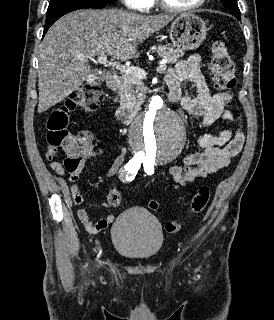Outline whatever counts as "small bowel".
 <instances>
[{
	"label": "small bowel",
	"mask_w": 274,
	"mask_h": 320,
	"mask_svg": "<svg viewBox=\"0 0 274 320\" xmlns=\"http://www.w3.org/2000/svg\"><path fill=\"white\" fill-rule=\"evenodd\" d=\"M185 81L194 85L196 90L194 96L182 94L181 83ZM166 83L170 93H178L182 107L189 114L201 118L200 126L202 128L211 126L217 120L232 123L237 119L231 111L226 109L227 104L232 99L230 92H221L214 95L210 93L200 69V57L198 55H191L189 58L178 62L167 73ZM196 141L201 151L185 155L181 165H172L168 169L176 189L205 178L209 174L226 167L243 148L245 137L240 130L224 129L217 134L200 135ZM58 151V146H49L46 156L42 157V162L50 163V168L55 171L57 176L61 177L64 175V167L60 162L55 161V153H58ZM125 153L126 149L123 148L121 154L106 171L105 176L107 178H112L120 172L125 162ZM98 155L99 151L91 147L86 151L85 158H95ZM79 174L80 172L77 174V179ZM70 192L74 204L82 205L84 203V197L78 185L73 184L70 187ZM102 205L104 207L107 206L106 203ZM77 217L85 228L88 223L93 222L84 208L77 210ZM113 221L114 216L107 214L97 224L101 229H104Z\"/></svg>",
	"instance_id": "obj_1"
}]
</instances>
